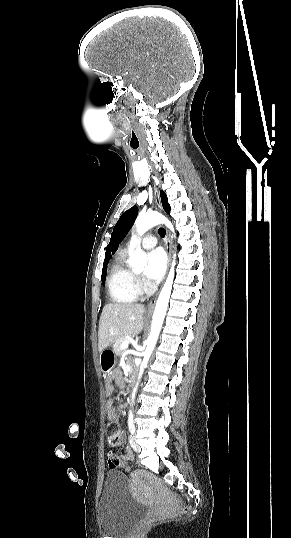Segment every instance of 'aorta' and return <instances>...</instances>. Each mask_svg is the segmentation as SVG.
<instances>
[{"mask_svg":"<svg viewBox=\"0 0 291 538\" xmlns=\"http://www.w3.org/2000/svg\"><path fill=\"white\" fill-rule=\"evenodd\" d=\"M160 223L165 224L172 232H174L172 223L168 219H166L163 215L159 214L158 212L140 213L135 221V226H136V230L138 234L143 235L150 228ZM175 257H176V254H174V260L172 262L170 272L168 274L166 282L156 302V306H155V310H154V314L152 318L150 334L145 341L146 348L143 353L144 357L140 365L137 383L131 393V405L132 406L134 404V399L136 396L138 384L142 378L144 369L147 367L148 361L150 359V356L152 355V352L154 350V347L159 337L160 330L162 328L163 320L166 314L169 298L172 291V285H173V279H174ZM128 263L135 270L144 269L145 264H146V255L141 249L139 244L136 250L130 255Z\"/></svg>","mask_w":291,"mask_h":538,"instance_id":"obj_1","label":"aorta"}]
</instances>
